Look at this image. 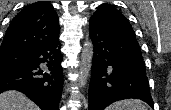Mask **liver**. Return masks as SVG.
<instances>
[{"label": "liver", "instance_id": "1", "mask_svg": "<svg viewBox=\"0 0 171 110\" xmlns=\"http://www.w3.org/2000/svg\"><path fill=\"white\" fill-rule=\"evenodd\" d=\"M0 110H39L38 106L18 91L0 94Z\"/></svg>", "mask_w": 171, "mask_h": 110}]
</instances>
